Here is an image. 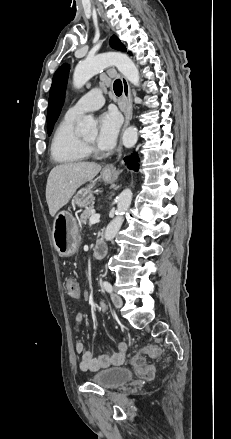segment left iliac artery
<instances>
[{
	"mask_svg": "<svg viewBox=\"0 0 231 439\" xmlns=\"http://www.w3.org/2000/svg\"><path fill=\"white\" fill-rule=\"evenodd\" d=\"M103 287L107 292H112V285L108 281L103 282Z\"/></svg>",
	"mask_w": 231,
	"mask_h": 439,
	"instance_id": "obj_1",
	"label": "left iliac artery"
}]
</instances>
